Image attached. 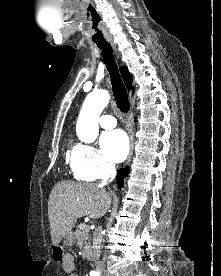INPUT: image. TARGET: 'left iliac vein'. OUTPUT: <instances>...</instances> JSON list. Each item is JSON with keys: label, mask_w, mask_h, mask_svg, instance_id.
<instances>
[{"label": "left iliac vein", "mask_w": 221, "mask_h": 276, "mask_svg": "<svg viewBox=\"0 0 221 276\" xmlns=\"http://www.w3.org/2000/svg\"><path fill=\"white\" fill-rule=\"evenodd\" d=\"M103 276H110V274L104 272V273H103Z\"/></svg>", "instance_id": "obj_1"}]
</instances>
